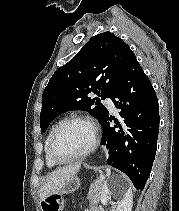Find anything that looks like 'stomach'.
<instances>
[{
  "mask_svg": "<svg viewBox=\"0 0 179 211\" xmlns=\"http://www.w3.org/2000/svg\"><path fill=\"white\" fill-rule=\"evenodd\" d=\"M80 187V179L75 175L69 179L66 185L54 195H63L75 192Z\"/></svg>",
  "mask_w": 179,
  "mask_h": 211,
  "instance_id": "obj_1",
  "label": "stomach"
}]
</instances>
